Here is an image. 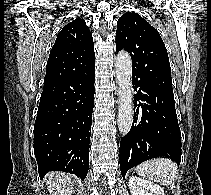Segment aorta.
<instances>
[{
	"instance_id": "1",
	"label": "aorta",
	"mask_w": 211,
	"mask_h": 195,
	"mask_svg": "<svg viewBox=\"0 0 211 195\" xmlns=\"http://www.w3.org/2000/svg\"><path fill=\"white\" fill-rule=\"evenodd\" d=\"M118 83V128L126 135L133 122L132 61L129 53L120 51L115 59Z\"/></svg>"
}]
</instances>
